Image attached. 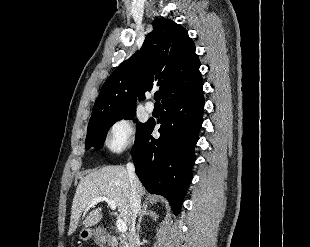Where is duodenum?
Segmentation results:
<instances>
[{
  "instance_id": "410a0bca",
  "label": "duodenum",
  "mask_w": 310,
  "mask_h": 247,
  "mask_svg": "<svg viewBox=\"0 0 310 247\" xmlns=\"http://www.w3.org/2000/svg\"><path fill=\"white\" fill-rule=\"evenodd\" d=\"M100 243L103 247H114L116 239L112 235H105L101 238Z\"/></svg>"
}]
</instances>
